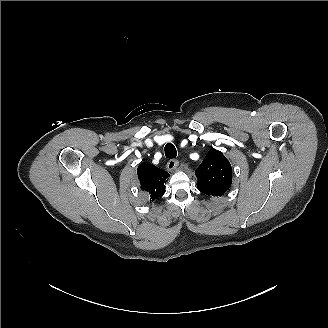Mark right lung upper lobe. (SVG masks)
I'll list each match as a JSON object with an SVG mask.
<instances>
[{"instance_id":"right-lung-upper-lobe-1","label":"right lung upper lobe","mask_w":328,"mask_h":328,"mask_svg":"<svg viewBox=\"0 0 328 328\" xmlns=\"http://www.w3.org/2000/svg\"><path fill=\"white\" fill-rule=\"evenodd\" d=\"M141 189L146 191L151 200L161 197L165 193V180L170 176L166 171L150 163H142L137 169Z\"/></svg>"}]
</instances>
